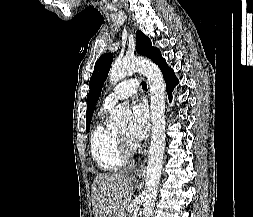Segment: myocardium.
Listing matches in <instances>:
<instances>
[{
	"mask_svg": "<svg viewBox=\"0 0 253 217\" xmlns=\"http://www.w3.org/2000/svg\"><path fill=\"white\" fill-rule=\"evenodd\" d=\"M118 148L121 154L128 159L135 151L136 146L127 138V136L116 133Z\"/></svg>",
	"mask_w": 253,
	"mask_h": 217,
	"instance_id": "myocardium-1",
	"label": "myocardium"
}]
</instances>
